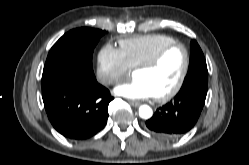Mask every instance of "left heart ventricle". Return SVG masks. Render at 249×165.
I'll list each match as a JSON object with an SVG mask.
<instances>
[{
	"mask_svg": "<svg viewBox=\"0 0 249 165\" xmlns=\"http://www.w3.org/2000/svg\"><path fill=\"white\" fill-rule=\"evenodd\" d=\"M184 65L181 48L170 50L154 68L134 71V77L143 79L154 96L168 92L177 82Z\"/></svg>",
	"mask_w": 249,
	"mask_h": 165,
	"instance_id": "obj_1",
	"label": "left heart ventricle"
}]
</instances>
